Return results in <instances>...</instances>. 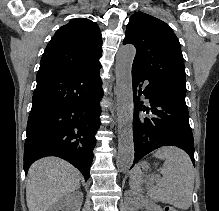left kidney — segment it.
I'll return each instance as SVG.
<instances>
[{"instance_id":"obj_1","label":"left kidney","mask_w":219,"mask_h":211,"mask_svg":"<svg viewBox=\"0 0 219 211\" xmlns=\"http://www.w3.org/2000/svg\"><path fill=\"white\" fill-rule=\"evenodd\" d=\"M136 205L138 209H147V211H162L160 205L157 203H149L148 199L137 197Z\"/></svg>"}]
</instances>
